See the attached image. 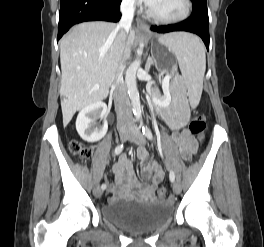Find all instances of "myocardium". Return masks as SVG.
<instances>
[{"label":"myocardium","mask_w":264,"mask_h":247,"mask_svg":"<svg viewBox=\"0 0 264 247\" xmlns=\"http://www.w3.org/2000/svg\"><path fill=\"white\" fill-rule=\"evenodd\" d=\"M183 3H184V11L182 12V14L176 17H172V18L161 17L155 13L152 7L149 8L148 14L153 20H155L158 23H162V24L180 23L187 20L190 17L192 11L191 0H183Z\"/></svg>","instance_id":"1"}]
</instances>
